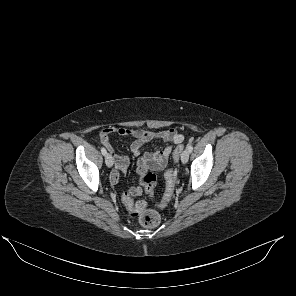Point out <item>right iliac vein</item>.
Here are the masks:
<instances>
[{
  "label": "right iliac vein",
  "mask_w": 296,
  "mask_h": 296,
  "mask_svg": "<svg viewBox=\"0 0 296 296\" xmlns=\"http://www.w3.org/2000/svg\"><path fill=\"white\" fill-rule=\"evenodd\" d=\"M105 163L107 165V167L111 168L113 166V157L111 154H107L105 156Z\"/></svg>",
  "instance_id": "obj_1"
}]
</instances>
